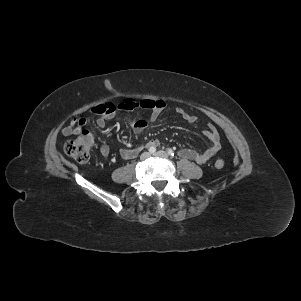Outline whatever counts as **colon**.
<instances>
[{
    "instance_id": "1",
    "label": "colon",
    "mask_w": 301,
    "mask_h": 301,
    "mask_svg": "<svg viewBox=\"0 0 301 301\" xmlns=\"http://www.w3.org/2000/svg\"><path fill=\"white\" fill-rule=\"evenodd\" d=\"M93 142L94 139L92 134L86 130H83L77 136L65 143L64 151L68 156L72 157L77 162L86 163L90 159ZM224 166L225 162L222 159H217L215 161V167L217 169H222Z\"/></svg>"
}]
</instances>
